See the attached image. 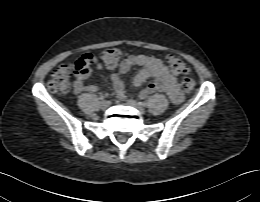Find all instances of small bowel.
Masks as SVG:
<instances>
[{
    "instance_id": "obj_1",
    "label": "small bowel",
    "mask_w": 260,
    "mask_h": 202,
    "mask_svg": "<svg viewBox=\"0 0 260 202\" xmlns=\"http://www.w3.org/2000/svg\"><path fill=\"white\" fill-rule=\"evenodd\" d=\"M134 66H139L137 74L133 79L134 86H140L147 80L152 81L139 93L140 98H146L155 92H163L168 95L174 104H178L183 99V94L176 78L169 72L163 62L152 55H129L123 59L118 70L112 74L111 80L119 99L126 98V85L124 76ZM97 68H100L98 65ZM91 70H84L76 75L74 82L75 94L83 91L96 92L97 85H85L84 81L90 76Z\"/></svg>"
}]
</instances>
